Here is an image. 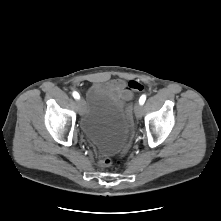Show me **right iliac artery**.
Wrapping results in <instances>:
<instances>
[{
  "instance_id": "82829eb1",
  "label": "right iliac artery",
  "mask_w": 221,
  "mask_h": 221,
  "mask_svg": "<svg viewBox=\"0 0 221 221\" xmlns=\"http://www.w3.org/2000/svg\"><path fill=\"white\" fill-rule=\"evenodd\" d=\"M73 97H74L75 99H79V98H80L78 92H76V91L73 92Z\"/></svg>"
}]
</instances>
